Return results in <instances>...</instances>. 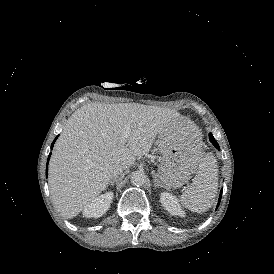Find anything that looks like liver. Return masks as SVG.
Returning a JSON list of instances; mask_svg holds the SVG:
<instances>
[{"instance_id":"liver-1","label":"liver","mask_w":274,"mask_h":274,"mask_svg":"<svg viewBox=\"0 0 274 274\" xmlns=\"http://www.w3.org/2000/svg\"><path fill=\"white\" fill-rule=\"evenodd\" d=\"M185 119L176 110L135 102L80 107L65 123L49 164L56 207L66 218L78 216L116 178L118 166L132 167L158 136L177 133Z\"/></svg>"}]
</instances>
